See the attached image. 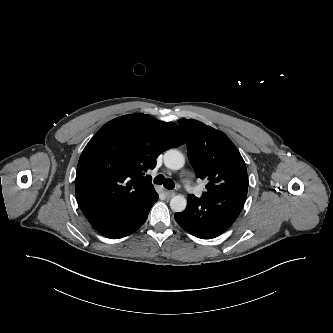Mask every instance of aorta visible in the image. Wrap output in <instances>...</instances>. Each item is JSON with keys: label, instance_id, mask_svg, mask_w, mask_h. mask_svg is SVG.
Listing matches in <instances>:
<instances>
[{"label": "aorta", "instance_id": "obj_1", "mask_svg": "<svg viewBox=\"0 0 333 333\" xmlns=\"http://www.w3.org/2000/svg\"><path fill=\"white\" fill-rule=\"evenodd\" d=\"M185 158L184 155L176 150L170 149L164 154V164L171 170H179L184 166ZM187 206V200L182 195L174 196L170 201V207L174 212H182Z\"/></svg>", "mask_w": 333, "mask_h": 333}]
</instances>
